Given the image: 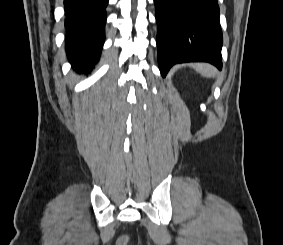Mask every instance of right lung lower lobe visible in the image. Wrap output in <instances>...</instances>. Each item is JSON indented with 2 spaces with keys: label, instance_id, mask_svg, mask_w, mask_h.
Wrapping results in <instances>:
<instances>
[{
  "label": "right lung lower lobe",
  "instance_id": "98d812e1",
  "mask_svg": "<svg viewBox=\"0 0 283 245\" xmlns=\"http://www.w3.org/2000/svg\"><path fill=\"white\" fill-rule=\"evenodd\" d=\"M108 0H64L66 51L74 69L88 72L103 43Z\"/></svg>",
  "mask_w": 283,
  "mask_h": 245
}]
</instances>
